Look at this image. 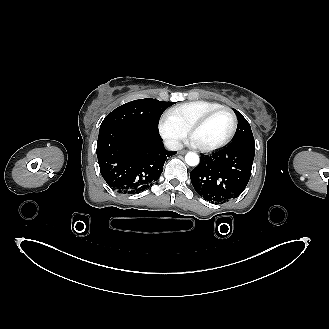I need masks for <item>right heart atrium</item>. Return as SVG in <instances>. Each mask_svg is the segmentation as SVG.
Returning <instances> with one entry per match:
<instances>
[{
  "instance_id": "right-heart-atrium-1",
  "label": "right heart atrium",
  "mask_w": 329,
  "mask_h": 329,
  "mask_svg": "<svg viewBox=\"0 0 329 329\" xmlns=\"http://www.w3.org/2000/svg\"><path fill=\"white\" fill-rule=\"evenodd\" d=\"M158 129L164 140L173 148L180 147L187 136V130L167 113L160 118Z\"/></svg>"
}]
</instances>
